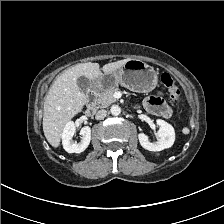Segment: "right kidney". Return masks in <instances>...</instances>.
<instances>
[{
	"label": "right kidney",
	"instance_id": "1",
	"mask_svg": "<svg viewBox=\"0 0 224 224\" xmlns=\"http://www.w3.org/2000/svg\"><path fill=\"white\" fill-rule=\"evenodd\" d=\"M76 132V127L74 122L69 121L62 132V144L65 151L68 153H81L83 152L91 140V128L89 126H84L80 130V134L82 135V140L80 143L74 142L72 140L74 134Z\"/></svg>",
	"mask_w": 224,
	"mask_h": 224
}]
</instances>
